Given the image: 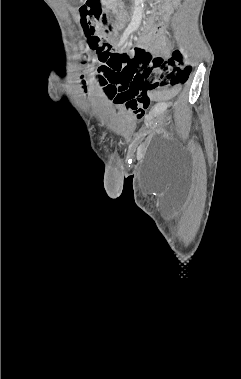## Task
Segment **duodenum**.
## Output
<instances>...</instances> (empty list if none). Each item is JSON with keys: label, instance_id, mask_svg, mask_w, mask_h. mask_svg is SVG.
I'll list each match as a JSON object with an SVG mask.
<instances>
[{"label": "duodenum", "instance_id": "obj_1", "mask_svg": "<svg viewBox=\"0 0 241 379\" xmlns=\"http://www.w3.org/2000/svg\"><path fill=\"white\" fill-rule=\"evenodd\" d=\"M105 2H106V4L108 6H111V7H113L115 5V0H105ZM123 17H124V13L123 12L117 13L118 20H122Z\"/></svg>", "mask_w": 241, "mask_h": 379}]
</instances>
